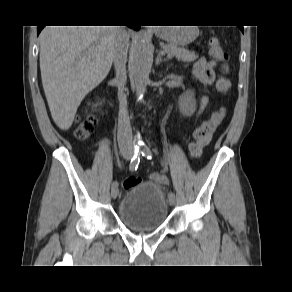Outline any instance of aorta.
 Instances as JSON below:
<instances>
[{
	"instance_id": "aorta-1",
	"label": "aorta",
	"mask_w": 292,
	"mask_h": 292,
	"mask_svg": "<svg viewBox=\"0 0 292 292\" xmlns=\"http://www.w3.org/2000/svg\"><path fill=\"white\" fill-rule=\"evenodd\" d=\"M151 57L147 35L140 32L132 48V70L138 97L144 95L149 82Z\"/></svg>"
}]
</instances>
